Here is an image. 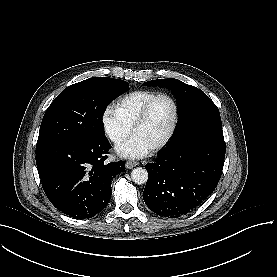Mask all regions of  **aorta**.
I'll return each mask as SVG.
<instances>
[{"mask_svg":"<svg viewBox=\"0 0 277 277\" xmlns=\"http://www.w3.org/2000/svg\"><path fill=\"white\" fill-rule=\"evenodd\" d=\"M131 179L138 185L145 184L148 180V172L145 168L137 167L132 170Z\"/></svg>","mask_w":277,"mask_h":277,"instance_id":"obj_1","label":"aorta"}]
</instances>
